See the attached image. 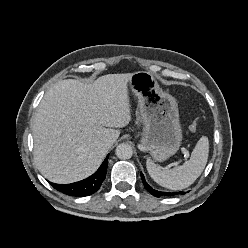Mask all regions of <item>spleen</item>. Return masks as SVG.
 <instances>
[{"instance_id": "spleen-1", "label": "spleen", "mask_w": 248, "mask_h": 248, "mask_svg": "<svg viewBox=\"0 0 248 248\" xmlns=\"http://www.w3.org/2000/svg\"><path fill=\"white\" fill-rule=\"evenodd\" d=\"M209 153V141L202 136L197 142L191 157L183 165L170 170H164L147 159L146 167L151 178L159 185L171 189L181 190L189 187L203 172Z\"/></svg>"}]
</instances>
